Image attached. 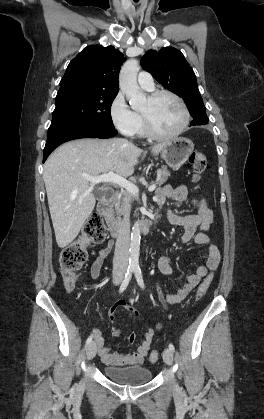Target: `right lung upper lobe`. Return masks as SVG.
<instances>
[{
	"mask_svg": "<svg viewBox=\"0 0 264 419\" xmlns=\"http://www.w3.org/2000/svg\"><path fill=\"white\" fill-rule=\"evenodd\" d=\"M124 61L123 54L113 46H87L69 63L60 87L83 85L95 91L118 93V75Z\"/></svg>",
	"mask_w": 264,
	"mask_h": 419,
	"instance_id": "right-lung-upper-lobe-1",
	"label": "right lung upper lobe"
}]
</instances>
